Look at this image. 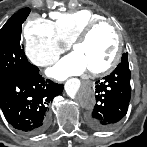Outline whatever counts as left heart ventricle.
I'll return each instance as SVG.
<instances>
[{"mask_svg":"<svg viewBox=\"0 0 147 147\" xmlns=\"http://www.w3.org/2000/svg\"><path fill=\"white\" fill-rule=\"evenodd\" d=\"M117 47V35L110 26L95 29L88 39L74 49L87 70H99L110 63Z\"/></svg>","mask_w":147,"mask_h":147,"instance_id":"b2bd125f","label":"left heart ventricle"}]
</instances>
